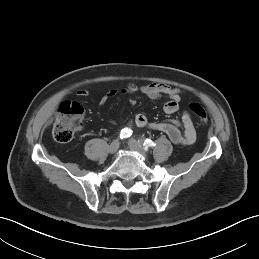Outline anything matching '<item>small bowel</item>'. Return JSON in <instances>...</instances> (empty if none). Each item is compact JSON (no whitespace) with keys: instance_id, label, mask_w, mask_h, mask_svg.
I'll list each match as a JSON object with an SVG mask.
<instances>
[{"instance_id":"c3829d8e","label":"small bowel","mask_w":259,"mask_h":259,"mask_svg":"<svg viewBox=\"0 0 259 259\" xmlns=\"http://www.w3.org/2000/svg\"><path fill=\"white\" fill-rule=\"evenodd\" d=\"M141 92L153 100H159L167 96L168 100L163 105L166 114L172 115L179 109V103L184 95V90L163 83H149L136 85L128 82L123 88L112 89L104 94L100 104L104 105L110 98L116 95H130ZM77 95L85 98L89 95L86 89L77 91ZM132 123L138 127L159 131L168 136L172 143L179 146H190L195 142L196 130L189 112L184 111L179 119H171L165 122H149L145 115L138 113L134 116Z\"/></svg>"}]
</instances>
